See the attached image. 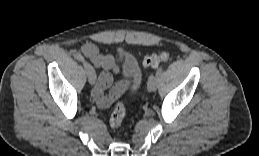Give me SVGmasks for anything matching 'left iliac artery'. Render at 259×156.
<instances>
[{
  "mask_svg": "<svg viewBox=\"0 0 259 156\" xmlns=\"http://www.w3.org/2000/svg\"><path fill=\"white\" fill-rule=\"evenodd\" d=\"M162 70H163V67H160L158 70H157V72H156V74H155V85H154V88H157V85L159 84V80H160V78H161V72H162Z\"/></svg>",
  "mask_w": 259,
  "mask_h": 156,
  "instance_id": "obj_1",
  "label": "left iliac artery"
}]
</instances>
